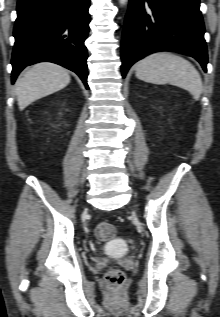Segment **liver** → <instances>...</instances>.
Returning a JSON list of instances; mask_svg holds the SVG:
<instances>
[{"mask_svg":"<svg viewBox=\"0 0 220 317\" xmlns=\"http://www.w3.org/2000/svg\"><path fill=\"white\" fill-rule=\"evenodd\" d=\"M69 82V72L57 64L38 63L33 65L24 71L15 83L20 111L32 102L63 89Z\"/></svg>","mask_w":220,"mask_h":317,"instance_id":"obj_1","label":"liver"}]
</instances>
